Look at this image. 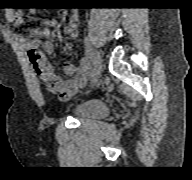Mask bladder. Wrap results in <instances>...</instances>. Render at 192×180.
<instances>
[{
    "instance_id": "1",
    "label": "bladder",
    "mask_w": 192,
    "mask_h": 180,
    "mask_svg": "<svg viewBox=\"0 0 192 180\" xmlns=\"http://www.w3.org/2000/svg\"><path fill=\"white\" fill-rule=\"evenodd\" d=\"M70 112L77 119H100L109 114V107L100 98H90L75 104Z\"/></svg>"
}]
</instances>
